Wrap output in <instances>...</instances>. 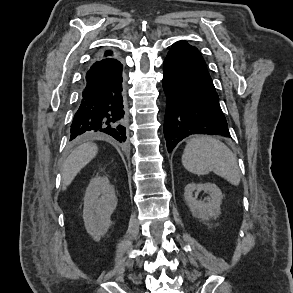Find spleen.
Listing matches in <instances>:
<instances>
[{
  "mask_svg": "<svg viewBox=\"0 0 293 293\" xmlns=\"http://www.w3.org/2000/svg\"><path fill=\"white\" fill-rule=\"evenodd\" d=\"M183 166L191 173L205 175L213 171L234 186L240 183V171L234 153L211 136L190 139L182 155Z\"/></svg>",
  "mask_w": 293,
  "mask_h": 293,
  "instance_id": "spleen-1",
  "label": "spleen"
}]
</instances>
